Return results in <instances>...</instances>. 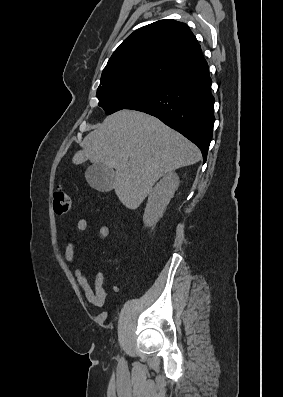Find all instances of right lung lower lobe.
<instances>
[{"label":"right lung lower lobe","mask_w":283,"mask_h":397,"mask_svg":"<svg viewBox=\"0 0 283 397\" xmlns=\"http://www.w3.org/2000/svg\"><path fill=\"white\" fill-rule=\"evenodd\" d=\"M208 66L175 77L125 109L157 117L201 150L203 162L213 136L214 102Z\"/></svg>","instance_id":"obj_1"}]
</instances>
